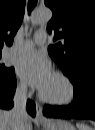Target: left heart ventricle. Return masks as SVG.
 Wrapping results in <instances>:
<instances>
[{
  "label": "left heart ventricle",
  "mask_w": 95,
  "mask_h": 130,
  "mask_svg": "<svg viewBox=\"0 0 95 130\" xmlns=\"http://www.w3.org/2000/svg\"><path fill=\"white\" fill-rule=\"evenodd\" d=\"M46 97L52 99H63L68 94L66 83L59 77L52 75L46 86L41 89Z\"/></svg>",
  "instance_id": "obj_1"
}]
</instances>
